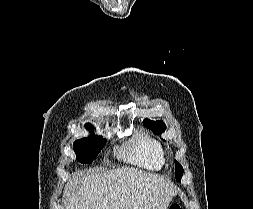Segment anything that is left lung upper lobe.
Returning a JSON list of instances; mask_svg holds the SVG:
<instances>
[{
	"label": "left lung upper lobe",
	"instance_id": "1",
	"mask_svg": "<svg viewBox=\"0 0 253 209\" xmlns=\"http://www.w3.org/2000/svg\"><path fill=\"white\" fill-rule=\"evenodd\" d=\"M144 125L151 128L154 133L161 134L165 131L166 126L163 121H151L149 119L144 120ZM183 175V167L175 161V178L180 181Z\"/></svg>",
	"mask_w": 253,
	"mask_h": 209
}]
</instances>
